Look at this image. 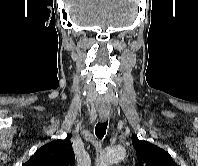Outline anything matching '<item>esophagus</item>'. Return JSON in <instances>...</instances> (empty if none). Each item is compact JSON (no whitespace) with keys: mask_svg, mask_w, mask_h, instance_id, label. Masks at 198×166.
<instances>
[{"mask_svg":"<svg viewBox=\"0 0 198 166\" xmlns=\"http://www.w3.org/2000/svg\"><path fill=\"white\" fill-rule=\"evenodd\" d=\"M109 115L108 114H100L99 119L101 122H104L108 119Z\"/></svg>","mask_w":198,"mask_h":166,"instance_id":"34e87169","label":"esophagus"}]
</instances>
